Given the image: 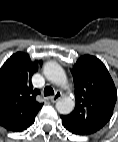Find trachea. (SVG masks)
I'll list each match as a JSON object with an SVG mask.
<instances>
[{"label": "trachea", "mask_w": 118, "mask_h": 142, "mask_svg": "<svg viewBox=\"0 0 118 142\" xmlns=\"http://www.w3.org/2000/svg\"><path fill=\"white\" fill-rule=\"evenodd\" d=\"M54 95V90L50 86L44 88V96Z\"/></svg>", "instance_id": "obj_1"}]
</instances>
